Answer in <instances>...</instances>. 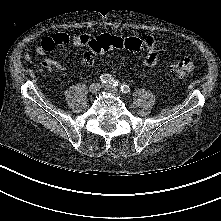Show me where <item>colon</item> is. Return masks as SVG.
Segmentation results:
<instances>
[{"label":"colon","mask_w":221,"mask_h":221,"mask_svg":"<svg viewBox=\"0 0 221 221\" xmlns=\"http://www.w3.org/2000/svg\"><path fill=\"white\" fill-rule=\"evenodd\" d=\"M90 55H100L114 49H125L131 52H138L143 49L144 42L138 37H117L109 34H102L92 39L89 44ZM194 70V63L190 57H183L174 62L167 70L172 78L186 77Z\"/></svg>","instance_id":"colon-1"}]
</instances>
